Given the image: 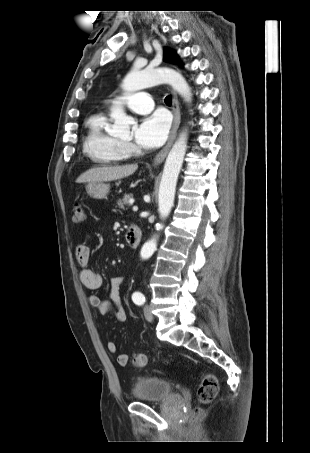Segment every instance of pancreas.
I'll return each mask as SVG.
<instances>
[{
    "instance_id": "1",
    "label": "pancreas",
    "mask_w": 310,
    "mask_h": 453,
    "mask_svg": "<svg viewBox=\"0 0 310 453\" xmlns=\"http://www.w3.org/2000/svg\"><path fill=\"white\" fill-rule=\"evenodd\" d=\"M133 197L132 194H125L123 199H119L117 205L120 209H127L130 206L129 199Z\"/></svg>"
}]
</instances>
